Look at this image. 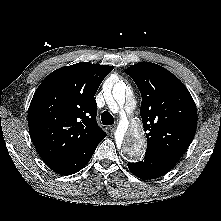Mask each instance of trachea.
<instances>
[{
  "instance_id": "3493384b",
  "label": "trachea",
  "mask_w": 221,
  "mask_h": 221,
  "mask_svg": "<svg viewBox=\"0 0 221 221\" xmlns=\"http://www.w3.org/2000/svg\"><path fill=\"white\" fill-rule=\"evenodd\" d=\"M101 121H102L103 125H112V124H114L113 116L107 111L102 113Z\"/></svg>"
}]
</instances>
